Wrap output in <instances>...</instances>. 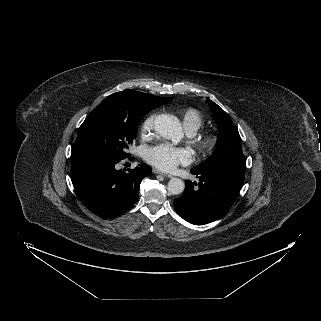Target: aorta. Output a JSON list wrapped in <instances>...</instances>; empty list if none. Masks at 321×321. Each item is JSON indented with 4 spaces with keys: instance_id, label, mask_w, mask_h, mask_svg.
Segmentation results:
<instances>
[{
    "instance_id": "1",
    "label": "aorta",
    "mask_w": 321,
    "mask_h": 321,
    "mask_svg": "<svg viewBox=\"0 0 321 321\" xmlns=\"http://www.w3.org/2000/svg\"><path fill=\"white\" fill-rule=\"evenodd\" d=\"M154 128L164 139L178 142L182 138V127L180 122L169 115L161 114L155 118ZM185 184L180 178H171L168 182V191L177 195L184 191Z\"/></svg>"
}]
</instances>
